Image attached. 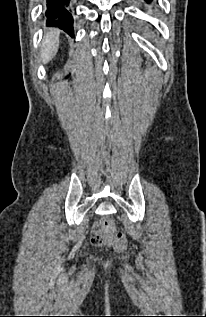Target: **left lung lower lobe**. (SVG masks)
Returning <instances> with one entry per match:
<instances>
[{
  "label": "left lung lower lobe",
  "instance_id": "0a47b994",
  "mask_svg": "<svg viewBox=\"0 0 206 317\" xmlns=\"http://www.w3.org/2000/svg\"><path fill=\"white\" fill-rule=\"evenodd\" d=\"M147 3H150L152 0H145Z\"/></svg>",
  "mask_w": 206,
  "mask_h": 317
}]
</instances>
